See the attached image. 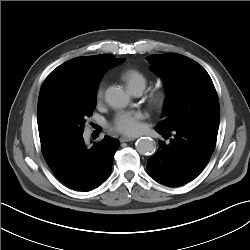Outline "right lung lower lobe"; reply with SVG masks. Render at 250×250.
Segmentation results:
<instances>
[{"label": "right lung lower lobe", "mask_w": 250, "mask_h": 250, "mask_svg": "<svg viewBox=\"0 0 250 250\" xmlns=\"http://www.w3.org/2000/svg\"><path fill=\"white\" fill-rule=\"evenodd\" d=\"M118 147L119 141L109 136L88 147L83 133L41 141L43 156L54 175L69 188L83 192L107 180Z\"/></svg>", "instance_id": "98d812e1"}]
</instances>
